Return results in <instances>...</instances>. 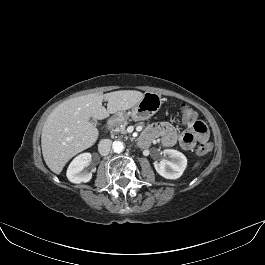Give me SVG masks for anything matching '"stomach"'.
Wrapping results in <instances>:
<instances>
[{"instance_id": "0dacf381", "label": "stomach", "mask_w": 265, "mask_h": 265, "mask_svg": "<svg viewBox=\"0 0 265 265\" xmlns=\"http://www.w3.org/2000/svg\"><path fill=\"white\" fill-rule=\"evenodd\" d=\"M162 99L157 93L146 92L143 98L129 111H120L117 118L131 117L135 121L147 120L152 117L161 107Z\"/></svg>"}]
</instances>
